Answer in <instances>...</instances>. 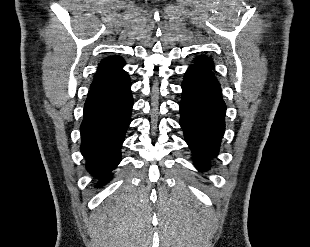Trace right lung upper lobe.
<instances>
[{
  "label": "right lung upper lobe",
  "mask_w": 310,
  "mask_h": 247,
  "mask_svg": "<svg viewBox=\"0 0 310 247\" xmlns=\"http://www.w3.org/2000/svg\"><path fill=\"white\" fill-rule=\"evenodd\" d=\"M124 60L119 57L104 59L95 74L91 87L119 84L129 81L128 74L123 70Z\"/></svg>",
  "instance_id": "obj_1"
}]
</instances>
